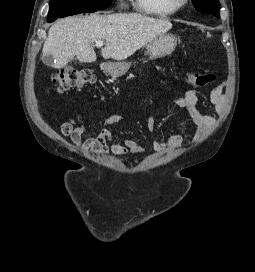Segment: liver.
Returning <instances> with one entry per match:
<instances>
[{"mask_svg":"<svg viewBox=\"0 0 255 272\" xmlns=\"http://www.w3.org/2000/svg\"><path fill=\"white\" fill-rule=\"evenodd\" d=\"M172 28L167 19L138 13L77 15L66 17L51 26L45 40L43 57L51 56L52 67L60 69L75 56L80 62L96 61L93 43L101 40L104 59L124 60L138 49Z\"/></svg>","mask_w":255,"mask_h":272,"instance_id":"obj_1","label":"liver"}]
</instances>
